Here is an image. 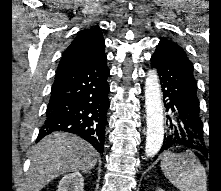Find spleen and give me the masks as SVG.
<instances>
[{
	"mask_svg": "<svg viewBox=\"0 0 221 191\" xmlns=\"http://www.w3.org/2000/svg\"><path fill=\"white\" fill-rule=\"evenodd\" d=\"M161 169L165 177L180 191H207L205 168L192 153H164Z\"/></svg>",
	"mask_w": 221,
	"mask_h": 191,
	"instance_id": "1",
	"label": "spleen"
}]
</instances>
